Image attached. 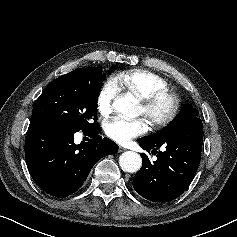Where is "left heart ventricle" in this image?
Instances as JSON below:
<instances>
[{
	"instance_id": "b2bd125f",
	"label": "left heart ventricle",
	"mask_w": 237,
	"mask_h": 237,
	"mask_svg": "<svg viewBox=\"0 0 237 237\" xmlns=\"http://www.w3.org/2000/svg\"><path fill=\"white\" fill-rule=\"evenodd\" d=\"M139 113H140V114H143V108H142V105H140Z\"/></svg>"
}]
</instances>
